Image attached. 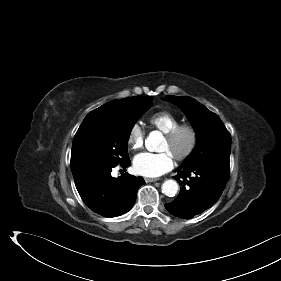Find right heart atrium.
Returning <instances> with one entry per match:
<instances>
[{
	"label": "right heart atrium",
	"mask_w": 281,
	"mask_h": 281,
	"mask_svg": "<svg viewBox=\"0 0 281 281\" xmlns=\"http://www.w3.org/2000/svg\"><path fill=\"white\" fill-rule=\"evenodd\" d=\"M145 132L139 123H135L131 126L128 136L127 144L130 149L138 150L142 147L144 142Z\"/></svg>",
	"instance_id": "d8ad5b80"
}]
</instances>
